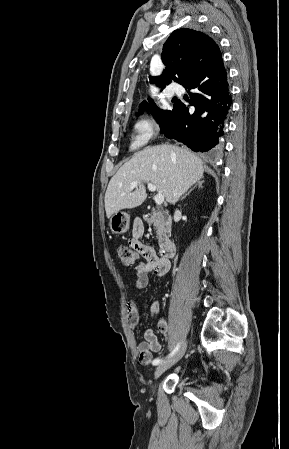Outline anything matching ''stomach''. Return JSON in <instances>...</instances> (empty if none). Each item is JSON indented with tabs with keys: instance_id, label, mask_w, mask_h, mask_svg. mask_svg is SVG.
Wrapping results in <instances>:
<instances>
[{
	"instance_id": "0dacf381",
	"label": "stomach",
	"mask_w": 289,
	"mask_h": 449,
	"mask_svg": "<svg viewBox=\"0 0 289 449\" xmlns=\"http://www.w3.org/2000/svg\"><path fill=\"white\" fill-rule=\"evenodd\" d=\"M130 217L126 212L118 211L110 217L109 226L113 233L123 234L128 231Z\"/></svg>"
}]
</instances>
